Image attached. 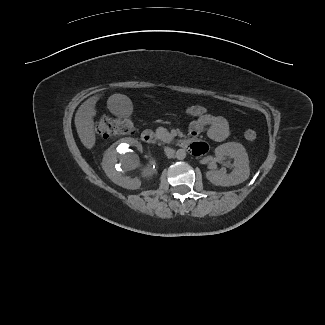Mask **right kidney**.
Instances as JSON below:
<instances>
[{"label": "right kidney", "instance_id": "1", "mask_svg": "<svg viewBox=\"0 0 325 325\" xmlns=\"http://www.w3.org/2000/svg\"><path fill=\"white\" fill-rule=\"evenodd\" d=\"M142 153V145L137 140L123 138L105 151L102 168L115 184L126 189H139L141 184H145L155 173L151 164L143 157L140 158Z\"/></svg>", "mask_w": 325, "mask_h": 325}]
</instances>
